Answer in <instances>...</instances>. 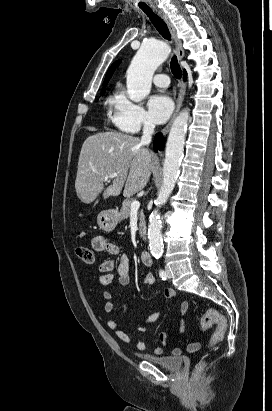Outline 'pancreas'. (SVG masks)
Here are the masks:
<instances>
[{"mask_svg":"<svg viewBox=\"0 0 272 411\" xmlns=\"http://www.w3.org/2000/svg\"><path fill=\"white\" fill-rule=\"evenodd\" d=\"M131 203H132L131 201H128V202H125L122 205V208H121L120 213H119V220L127 219L130 216ZM139 220H140V222H139V233L142 237L143 236L142 229L144 228V225H145L143 210L140 211Z\"/></svg>","mask_w":272,"mask_h":411,"instance_id":"1","label":"pancreas"}]
</instances>
